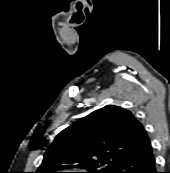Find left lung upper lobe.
Masks as SVG:
<instances>
[{
  "label": "left lung upper lobe",
  "mask_w": 170,
  "mask_h": 173,
  "mask_svg": "<svg viewBox=\"0 0 170 173\" xmlns=\"http://www.w3.org/2000/svg\"><path fill=\"white\" fill-rule=\"evenodd\" d=\"M149 144L143 125L130 111L108 105L61 131L36 173H60L65 168L113 173L125 158Z\"/></svg>",
  "instance_id": "obj_1"
}]
</instances>
